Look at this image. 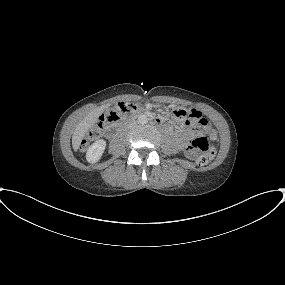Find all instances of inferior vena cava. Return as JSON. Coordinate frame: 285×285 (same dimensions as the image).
<instances>
[{
    "label": "inferior vena cava",
    "mask_w": 285,
    "mask_h": 285,
    "mask_svg": "<svg viewBox=\"0 0 285 285\" xmlns=\"http://www.w3.org/2000/svg\"><path fill=\"white\" fill-rule=\"evenodd\" d=\"M136 123H132L130 125H128V128H131L132 126H134Z\"/></svg>",
    "instance_id": "602c4592"
}]
</instances>
